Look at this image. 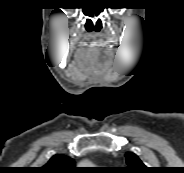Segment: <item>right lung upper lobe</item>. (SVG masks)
<instances>
[{
    "instance_id": "right-lung-upper-lobe-1",
    "label": "right lung upper lobe",
    "mask_w": 184,
    "mask_h": 173,
    "mask_svg": "<svg viewBox=\"0 0 184 173\" xmlns=\"http://www.w3.org/2000/svg\"><path fill=\"white\" fill-rule=\"evenodd\" d=\"M75 170L72 158L57 154L46 165L39 168V173H74Z\"/></svg>"
}]
</instances>
